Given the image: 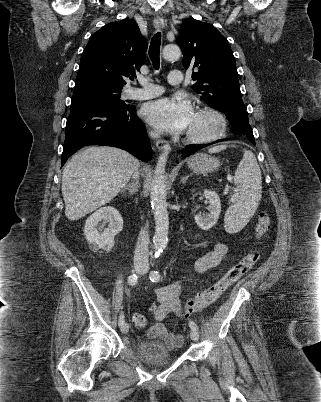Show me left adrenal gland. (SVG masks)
Here are the masks:
<instances>
[{
  "label": "left adrenal gland",
  "instance_id": "1",
  "mask_svg": "<svg viewBox=\"0 0 321 402\" xmlns=\"http://www.w3.org/2000/svg\"><path fill=\"white\" fill-rule=\"evenodd\" d=\"M190 176H192V174H189V175H187V176H185V177H182V178H181V182H182V183H185V182L187 181V179H188Z\"/></svg>",
  "mask_w": 321,
  "mask_h": 402
}]
</instances>
